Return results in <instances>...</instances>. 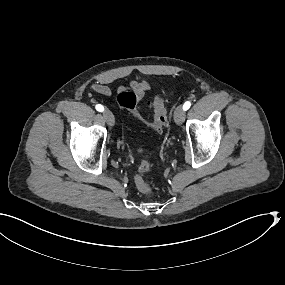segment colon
Masks as SVG:
<instances>
[{
  "label": "colon",
  "mask_w": 285,
  "mask_h": 285,
  "mask_svg": "<svg viewBox=\"0 0 285 285\" xmlns=\"http://www.w3.org/2000/svg\"><path fill=\"white\" fill-rule=\"evenodd\" d=\"M138 101L139 98L133 91H122L117 96V102L121 109L132 113L136 119L144 123L152 130L159 132L168 125L167 109L164 99L161 96L155 97L151 103V107L153 109V119L150 122L145 121L137 110ZM149 169V162L143 159L134 177V182L137 189L146 195L152 194L153 192L152 186L144 178V175L149 171Z\"/></svg>",
  "instance_id": "5ec220e1"
}]
</instances>
